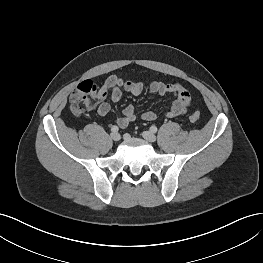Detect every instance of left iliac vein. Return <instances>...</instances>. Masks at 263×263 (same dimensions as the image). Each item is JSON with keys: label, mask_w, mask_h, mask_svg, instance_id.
<instances>
[{"label": "left iliac vein", "mask_w": 263, "mask_h": 263, "mask_svg": "<svg viewBox=\"0 0 263 263\" xmlns=\"http://www.w3.org/2000/svg\"><path fill=\"white\" fill-rule=\"evenodd\" d=\"M142 136H143L144 139H146V140L149 141V142H154V141H156V136H155V134H153V133L150 132V131H144V132L142 133Z\"/></svg>", "instance_id": "1"}]
</instances>
